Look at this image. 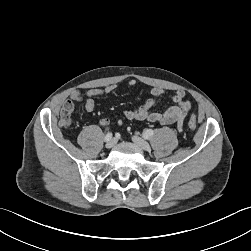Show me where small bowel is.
<instances>
[{"mask_svg":"<svg viewBox=\"0 0 251 251\" xmlns=\"http://www.w3.org/2000/svg\"><path fill=\"white\" fill-rule=\"evenodd\" d=\"M137 80L130 79L128 81L129 87H135ZM117 89L116 85H110L105 88H96L87 91L84 108L87 112H92L95 109V99L100 96L108 95ZM148 92L151 97L134 110L124 111L123 116L128 120L148 121L151 123H159L162 125L176 123L179 130H182L183 122L188 112L191 109V102L185 99V92L178 90L171 95V100L174 105L167 108L164 112L152 111L153 108L157 107L161 97L165 94V91L161 88L148 86ZM82 94L80 91L75 90L71 93L70 99L65 101L64 106H71L73 108V101H80ZM113 122V119L108 117H102L99 119V124L102 126H108ZM117 124H122L121 119H116Z\"/></svg>","mask_w":251,"mask_h":251,"instance_id":"1","label":"small bowel"}]
</instances>
